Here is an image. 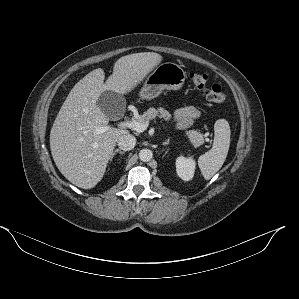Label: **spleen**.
I'll return each mask as SVG.
<instances>
[{"instance_id":"1","label":"spleen","mask_w":299,"mask_h":299,"mask_svg":"<svg viewBox=\"0 0 299 299\" xmlns=\"http://www.w3.org/2000/svg\"><path fill=\"white\" fill-rule=\"evenodd\" d=\"M214 133L212 148L198 159V166L206 180L211 179L226 160L231 135L229 123L225 119L217 120Z\"/></svg>"}]
</instances>
